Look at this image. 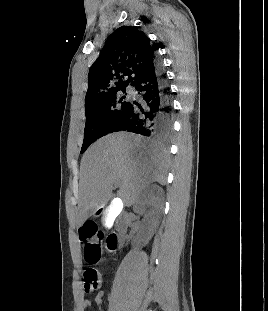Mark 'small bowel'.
<instances>
[{"label":"small bowel","mask_w":268,"mask_h":311,"mask_svg":"<svg viewBox=\"0 0 268 311\" xmlns=\"http://www.w3.org/2000/svg\"><path fill=\"white\" fill-rule=\"evenodd\" d=\"M102 297H103V293H102V292H99V293L96 295V300H97V301H100V300L102 299ZM90 306H91V302H90V301L84 300V301L82 302V307H83L84 309H87V308L90 307Z\"/></svg>","instance_id":"small-bowel-1"}]
</instances>
